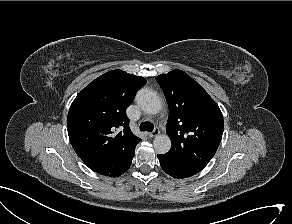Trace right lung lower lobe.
Wrapping results in <instances>:
<instances>
[{"label": "right lung lower lobe", "mask_w": 292, "mask_h": 224, "mask_svg": "<svg viewBox=\"0 0 292 224\" xmlns=\"http://www.w3.org/2000/svg\"><path fill=\"white\" fill-rule=\"evenodd\" d=\"M135 150L127 156L92 158L80 157L94 172L109 177H117L125 173L131 165Z\"/></svg>", "instance_id": "obj_1"}]
</instances>
